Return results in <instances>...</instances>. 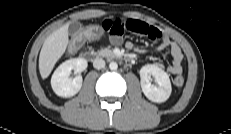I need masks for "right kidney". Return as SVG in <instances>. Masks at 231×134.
I'll return each mask as SVG.
<instances>
[{"mask_svg": "<svg viewBox=\"0 0 231 134\" xmlns=\"http://www.w3.org/2000/svg\"><path fill=\"white\" fill-rule=\"evenodd\" d=\"M88 63L83 58H73L63 62L53 73L51 86L56 95L60 97H72L79 92L82 87V76L77 75L70 78V73L74 70L75 74L83 72Z\"/></svg>", "mask_w": 231, "mask_h": 134, "instance_id": "ca27d5eb", "label": "right kidney"}]
</instances>
